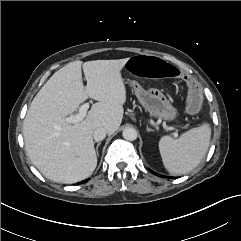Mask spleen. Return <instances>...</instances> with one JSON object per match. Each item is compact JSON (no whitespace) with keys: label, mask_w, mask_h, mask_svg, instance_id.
<instances>
[{"label":"spleen","mask_w":241,"mask_h":241,"mask_svg":"<svg viewBox=\"0 0 241 241\" xmlns=\"http://www.w3.org/2000/svg\"><path fill=\"white\" fill-rule=\"evenodd\" d=\"M210 137L211 127L208 123L190 129L178 139L163 136L159 141V151L165 168L174 175L193 170L204 158Z\"/></svg>","instance_id":"1"}]
</instances>
